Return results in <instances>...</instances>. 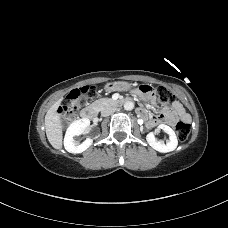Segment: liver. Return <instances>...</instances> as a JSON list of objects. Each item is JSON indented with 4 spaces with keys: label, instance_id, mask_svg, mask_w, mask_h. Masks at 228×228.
Wrapping results in <instances>:
<instances>
[{
    "label": "liver",
    "instance_id": "6515ba94",
    "mask_svg": "<svg viewBox=\"0 0 228 228\" xmlns=\"http://www.w3.org/2000/svg\"><path fill=\"white\" fill-rule=\"evenodd\" d=\"M61 99L54 103L45 115V129L48 141L55 149L62 148V123L60 115L57 112L61 104Z\"/></svg>",
    "mask_w": 228,
    "mask_h": 228
}]
</instances>
